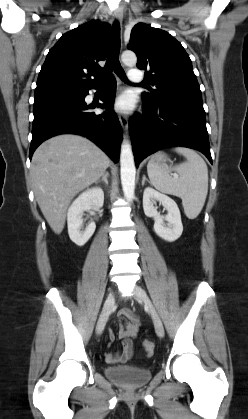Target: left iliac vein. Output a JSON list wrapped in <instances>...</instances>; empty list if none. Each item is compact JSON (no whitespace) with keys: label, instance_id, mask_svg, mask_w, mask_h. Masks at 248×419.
<instances>
[{"label":"left iliac vein","instance_id":"obj_1","mask_svg":"<svg viewBox=\"0 0 248 419\" xmlns=\"http://www.w3.org/2000/svg\"><path fill=\"white\" fill-rule=\"evenodd\" d=\"M133 295L135 297V299L141 300L143 301V303L146 306L147 311L149 312V314L151 315L153 322H154V327H155V331L157 333V335L162 338L164 337V327L163 324L157 314V311L154 307V305L152 304L150 298L148 297V295L146 294V292L139 286H135L134 290H133Z\"/></svg>","mask_w":248,"mask_h":419}]
</instances>
